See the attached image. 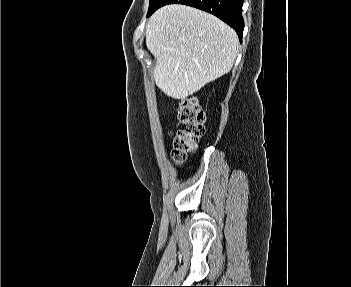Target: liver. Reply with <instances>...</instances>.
I'll list each match as a JSON object with an SVG mask.
<instances>
[{
	"instance_id": "liver-1",
	"label": "liver",
	"mask_w": 351,
	"mask_h": 287,
	"mask_svg": "<svg viewBox=\"0 0 351 287\" xmlns=\"http://www.w3.org/2000/svg\"><path fill=\"white\" fill-rule=\"evenodd\" d=\"M154 80L167 96L186 99L230 72L238 55L236 32L217 17L179 4L158 9L146 25Z\"/></svg>"
}]
</instances>
